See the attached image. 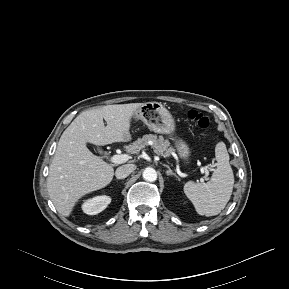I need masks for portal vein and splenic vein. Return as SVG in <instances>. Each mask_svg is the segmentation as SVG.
I'll return each mask as SVG.
<instances>
[{"label":"portal vein and splenic vein","mask_w":289,"mask_h":289,"mask_svg":"<svg viewBox=\"0 0 289 289\" xmlns=\"http://www.w3.org/2000/svg\"><path fill=\"white\" fill-rule=\"evenodd\" d=\"M129 160V156L127 154H121V155H113L111 157V162L114 164H122ZM206 176L208 175V169L207 167H204ZM205 176V179H207ZM201 182H204V179H201Z\"/></svg>","instance_id":"portal-vein-and-splenic-vein-1"}]
</instances>
